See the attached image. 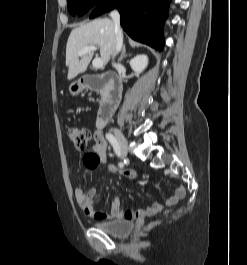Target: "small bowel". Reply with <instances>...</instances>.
<instances>
[{
  "label": "small bowel",
  "instance_id": "c3829d8e",
  "mask_svg": "<svg viewBox=\"0 0 247 265\" xmlns=\"http://www.w3.org/2000/svg\"><path fill=\"white\" fill-rule=\"evenodd\" d=\"M93 146L92 150L85 153L83 156V164L89 169H95L101 166H105L109 171H115L116 168L107 164V142L101 132L96 131L93 134ZM124 174L133 180H138V174L135 171H125ZM185 188L178 186L173 195H171L165 202H154L146 209H128L121 210V201L119 198H114L109 211L103 212L95 208L94 198L97 194L96 188H91L88 191H84L82 188L77 187L74 190V196L76 202L83 210V212L97 220H111V219H126L142 221L148 216H153L160 212L165 205H173L185 196Z\"/></svg>",
  "mask_w": 247,
  "mask_h": 265
}]
</instances>
